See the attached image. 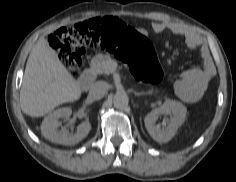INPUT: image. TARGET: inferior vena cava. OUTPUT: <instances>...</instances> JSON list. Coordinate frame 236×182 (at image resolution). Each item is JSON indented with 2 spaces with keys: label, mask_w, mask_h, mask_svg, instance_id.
Here are the masks:
<instances>
[{
  "label": "inferior vena cava",
  "mask_w": 236,
  "mask_h": 182,
  "mask_svg": "<svg viewBox=\"0 0 236 182\" xmlns=\"http://www.w3.org/2000/svg\"><path fill=\"white\" fill-rule=\"evenodd\" d=\"M106 90V83L104 81H97L91 86L89 96L93 99H100L105 95Z\"/></svg>",
  "instance_id": "1"
}]
</instances>
